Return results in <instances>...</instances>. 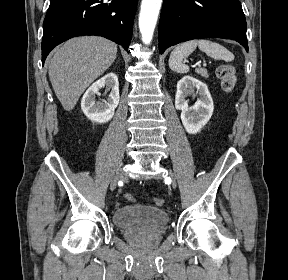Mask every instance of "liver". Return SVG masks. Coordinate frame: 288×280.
I'll list each match as a JSON object with an SVG mask.
<instances>
[{
	"label": "liver",
	"mask_w": 288,
	"mask_h": 280,
	"mask_svg": "<svg viewBox=\"0 0 288 280\" xmlns=\"http://www.w3.org/2000/svg\"><path fill=\"white\" fill-rule=\"evenodd\" d=\"M117 45L102 37H77L55 51L49 64L54 92L67 111L81 94L114 62Z\"/></svg>",
	"instance_id": "obj_1"
}]
</instances>
